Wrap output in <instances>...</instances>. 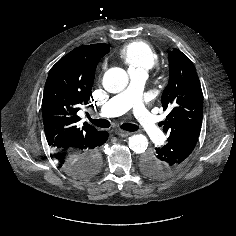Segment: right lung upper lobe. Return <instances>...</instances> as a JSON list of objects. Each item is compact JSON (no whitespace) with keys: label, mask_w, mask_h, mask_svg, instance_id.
Returning <instances> with one entry per match:
<instances>
[{"label":"right lung upper lobe","mask_w":236,"mask_h":236,"mask_svg":"<svg viewBox=\"0 0 236 236\" xmlns=\"http://www.w3.org/2000/svg\"><path fill=\"white\" fill-rule=\"evenodd\" d=\"M108 44L78 47L61 58L50 70L42 100L46 139L53 152L86 153L102 131L77 122L79 106L87 104L100 59L109 52Z\"/></svg>","instance_id":"cb5924a9"}]
</instances>
